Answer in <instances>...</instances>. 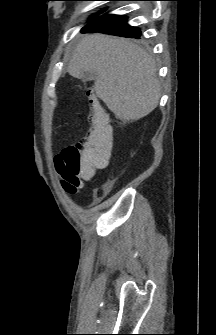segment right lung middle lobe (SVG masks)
Segmentation results:
<instances>
[{
    "label": "right lung middle lobe",
    "instance_id": "obj_1",
    "mask_svg": "<svg viewBox=\"0 0 216 335\" xmlns=\"http://www.w3.org/2000/svg\"><path fill=\"white\" fill-rule=\"evenodd\" d=\"M96 16H97V15H93V16L91 17V19H92V18H95Z\"/></svg>",
    "mask_w": 216,
    "mask_h": 335
}]
</instances>
